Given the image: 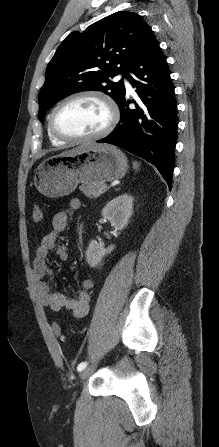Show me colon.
Returning a JSON list of instances; mask_svg holds the SVG:
<instances>
[{
  "label": "colon",
  "instance_id": "1",
  "mask_svg": "<svg viewBox=\"0 0 219 447\" xmlns=\"http://www.w3.org/2000/svg\"><path fill=\"white\" fill-rule=\"evenodd\" d=\"M32 220L36 224H40V223L43 222L44 216H43V212H42L40 207L35 206L33 208ZM52 331H53L54 335L57 338H62L63 337V331H62V328H61V326L59 324H57V323L53 324Z\"/></svg>",
  "mask_w": 219,
  "mask_h": 447
}]
</instances>
